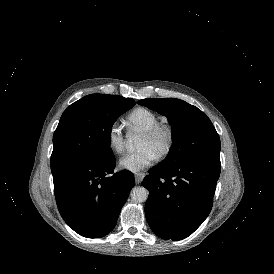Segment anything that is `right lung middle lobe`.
<instances>
[{
	"mask_svg": "<svg viewBox=\"0 0 274 274\" xmlns=\"http://www.w3.org/2000/svg\"><path fill=\"white\" fill-rule=\"evenodd\" d=\"M134 105V99L106 94H91L70 105L53 135L51 167L76 160L100 162L113 157L112 126Z\"/></svg>",
	"mask_w": 274,
	"mask_h": 274,
	"instance_id": "dd1d6c3e",
	"label": "right lung middle lobe"
}]
</instances>
